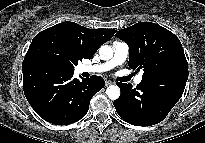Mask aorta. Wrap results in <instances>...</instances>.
I'll return each instance as SVG.
<instances>
[{"mask_svg": "<svg viewBox=\"0 0 205 143\" xmlns=\"http://www.w3.org/2000/svg\"><path fill=\"white\" fill-rule=\"evenodd\" d=\"M99 55L102 60H110L113 57V49L109 45H103L99 49ZM106 94L111 100L120 97V88L116 85H110L106 89Z\"/></svg>", "mask_w": 205, "mask_h": 143, "instance_id": "aorta-1", "label": "aorta"}]
</instances>
